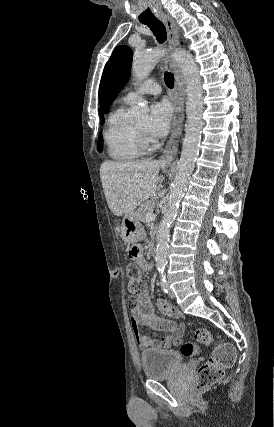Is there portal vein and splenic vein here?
Returning a JSON list of instances; mask_svg holds the SVG:
<instances>
[{"label":"portal vein and splenic vein","instance_id":"1","mask_svg":"<svg viewBox=\"0 0 274 427\" xmlns=\"http://www.w3.org/2000/svg\"><path fill=\"white\" fill-rule=\"evenodd\" d=\"M156 215L153 214V212H148V214H146V219L147 221H151V219H155Z\"/></svg>","mask_w":274,"mask_h":427}]
</instances>
